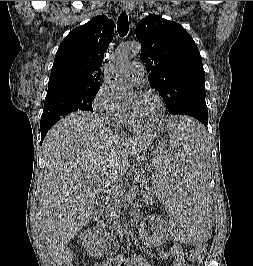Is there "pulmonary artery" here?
<instances>
[{
    "instance_id": "pulmonary-artery-1",
    "label": "pulmonary artery",
    "mask_w": 253,
    "mask_h": 266,
    "mask_svg": "<svg viewBox=\"0 0 253 266\" xmlns=\"http://www.w3.org/2000/svg\"><path fill=\"white\" fill-rule=\"evenodd\" d=\"M123 75L129 81L137 83L143 76V65L138 61H132L124 68Z\"/></svg>"
}]
</instances>
